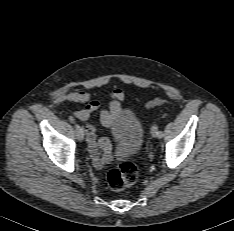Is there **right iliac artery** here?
Here are the masks:
<instances>
[{
    "label": "right iliac artery",
    "instance_id": "right-iliac-artery-1",
    "mask_svg": "<svg viewBox=\"0 0 234 231\" xmlns=\"http://www.w3.org/2000/svg\"><path fill=\"white\" fill-rule=\"evenodd\" d=\"M75 129L77 134H80L83 131V129L78 124H75Z\"/></svg>",
    "mask_w": 234,
    "mask_h": 231
}]
</instances>
